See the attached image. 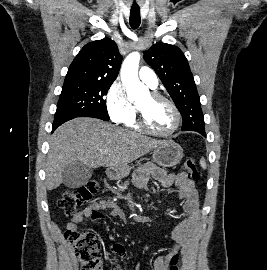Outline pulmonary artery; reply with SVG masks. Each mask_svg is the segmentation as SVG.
<instances>
[{
  "label": "pulmonary artery",
  "mask_w": 267,
  "mask_h": 270,
  "mask_svg": "<svg viewBox=\"0 0 267 270\" xmlns=\"http://www.w3.org/2000/svg\"><path fill=\"white\" fill-rule=\"evenodd\" d=\"M139 78L152 89H155L158 85L157 75L149 67L143 66L140 68Z\"/></svg>",
  "instance_id": "pulmonary-artery-1"
}]
</instances>
